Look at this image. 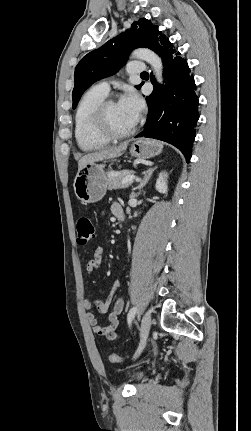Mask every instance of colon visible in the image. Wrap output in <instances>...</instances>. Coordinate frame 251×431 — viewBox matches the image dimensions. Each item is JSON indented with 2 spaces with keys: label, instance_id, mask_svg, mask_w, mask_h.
Listing matches in <instances>:
<instances>
[{
  "label": "colon",
  "instance_id": "1",
  "mask_svg": "<svg viewBox=\"0 0 251 431\" xmlns=\"http://www.w3.org/2000/svg\"><path fill=\"white\" fill-rule=\"evenodd\" d=\"M77 229V242L79 245L84 246L89 244L95 238V227L91 219L87 216H80L76 223ZM129 356H120L118 354H111L109 360L112 363H120L128 359Z\"/></svg>",
  "mask_w": 251,
  "mask_h": 431
}]
</instances>
